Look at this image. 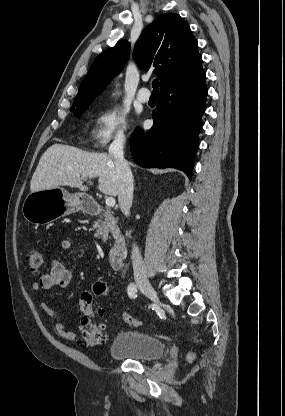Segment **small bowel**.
Instances as JSON below:
<instances>
[{
	"label": "small bowel",
	"instance_id": "1",
	"mask_svg": "<svg viewBox=\"0 0 285 416\" xmlns=\"http://www.w3.org/2000/svg\"><path fill=\"white\" fill-rule=\"evenodd\" d=\"M59 248L62 251H68L71 248L70 240H61ZM73 273L72 267H68L59 261H53L49 270L44 273L38 281L33 283V289L38 291L40 289L52 290L54 288H66L72 281ZM40 306L48 316L56 321L55 329L58 336L71 341L78 339L76 333L66 328L65 321L58 311L45 302H41Z\"/></svg>",
	"mask_w": 285,
	"mask_h": 416
}]
</instances>
